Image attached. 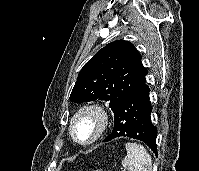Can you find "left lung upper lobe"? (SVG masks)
Here are the masks:
<instances>
[{
    "label": "left lung upper lobe",
    "mask_w": 199,
    "mask_h": 171,
    "mask_svg": "<svg viewBox=\"0 0 199 171\" xmlns=\"http://www.w3.org/2000/svg\"><path fill=\"white\" fill-rule=\"evenodd\" d=\"M146 74L141 55L132 43L111 42L83 66L70 100L76 103L105 100L114 112Z\"/></svg>",
    "instance_id": "5c2ea615"
}]
</instances>
